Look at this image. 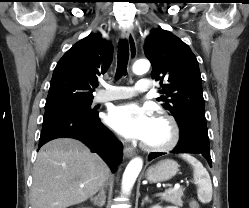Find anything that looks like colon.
<instances>
[{"instance_id":"obj_1","label":"colon","mask_w":249,"mask_h":208,"mask_svg":"<svg viewBox=\"0 0 249 208\" xmlns=\"http://www.w3.org/2000/svg\"><path fill=\"white\" fill-rule=\"evenodd\" d=\"M191 208H199L198 203L195 200H192L190 203Z\"/></svg>"}]
</instances>
